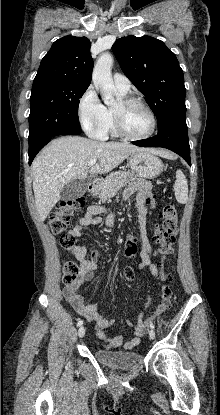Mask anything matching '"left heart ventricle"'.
I'll return each mask as SVG.
<instances>
[{
	"label": "left heart ventricle",
	"instance_id": "1",
	"mask_svg": "<svg viewBox=\"0 0 220 415\" xmlns=\"http://www.w3.org/2000/svg\"><path fill=\"white\" fill-rule=\"evenodd\" d=\"M120 112L124 129L133 136H142L151 129V117L149 113L140 106L122 108L119 103L114 107Z\"/></svg>",
	"mask_w": 220,
	"mask_h": 415
}]
</instances>
